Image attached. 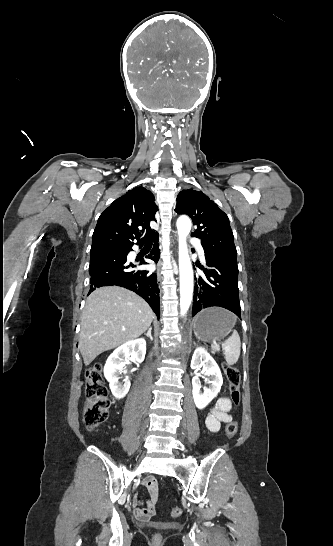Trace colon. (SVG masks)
Here are the masks:
<instances>
[{"label":"colon","instance_id":"1","mask_svg":"<svg viewBox=\"0 0 333 546\" xmlns=\"http://www.w3.org/2000/svg\"><path fill=\"white\" fill-rule=\"evenodd\" d=\"M223 370L228 382L231 402L238 406L240 403V372L236 367L226 363L223 364ZM85 394L84 423L86 428L92 431L104 422L110 405L101 365L97 364L86 371ZM237 430V422L230 421L225 427V434L228 438H232ZM181 514L180 507H175L170 511V516L173 518H177ZM159 539L160 535H156L155 540Z\"/></svg>","mask_w":333,"mask_h":546}]
</instances>
